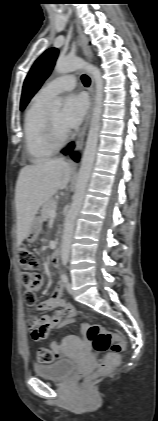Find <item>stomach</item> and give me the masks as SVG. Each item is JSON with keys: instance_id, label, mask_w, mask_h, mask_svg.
Returning a JSON list of instances; mask_svg holds the SVG:
<instances>
[{"instance_id": "stomach-1", "label": "stomach", "mask_w": 158, "mask_h": 421, "mask_svg": "<svg viewBox=\"0 0 158 421\" xmlns=\"http://www.w3.org/2000/svg\"><path fill=\"white\" fill-rule=\"evenodd\" d=\"M42 222H43V220H42L41 216H35V218L33 219L32 223H31V226L29 228V231H28V234H27V237H26L28 242L32 243L37 239V237H38V235H39V233L42 229Z\"/></svg>"}]
</instances>
